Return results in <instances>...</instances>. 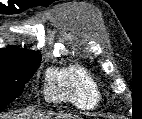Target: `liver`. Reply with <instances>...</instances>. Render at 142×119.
<instances>
[{"label":"liver","instance_id":"obj_1","mask_svg":"<svg viewBox=\"0 0 142 119\" xmlns=\"http://www.w3.org/2000/svg\"><path fill=\"white\" fill-rule=\"evenodd\" d=\"M17 117H23L24 119H69L72 118L70 115H56L54 113H39L34 112L33 110H29L25 112L24 114L17 116ZM0 119H12L9 116L3 117L1 116ZM16 119V118H13Z\"/></svg>","mask_w":142,"mask_h":119}]
</instances>
